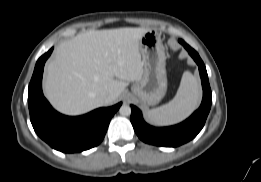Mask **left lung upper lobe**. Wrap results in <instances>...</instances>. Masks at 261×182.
<instances>
[{
    "mask_svg": "<svg viewBox=\"0 0 261 182\" xmlns=\"http://www.w3.org/2000/svg\"><path fill=\"white\" fill-rule=\"evenodd\" d=\"M180 43L183 44V43H185V42H184L183 40H180Z\"/></svg>",
    "mask_w": 261,
    "mask_h": 182,
    "instance_id": "left-lung-upper-lobe-1",
    "label": "left lung upper lobe"
}]
</instances>
